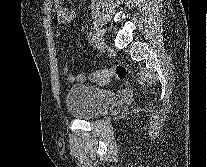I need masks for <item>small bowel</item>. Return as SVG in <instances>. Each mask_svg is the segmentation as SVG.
Masks as SVG:
<instances>
[{
    "label": "small bowel",
    "instance_id": "obj_1",
    "mask_svg": "<svg viewBox=\"0 0 207 167\" xmlns=\"http://www.w3.org/2000/svg\"><path fill=\"white\" fill-rule=\"evenodd\" d=\"M55 9L54 23L57 25H69L73 22L76 16L75 9L66 8L60 0H54L53 3ZM56 36L60 37L61 32H56ZM88 58V57H87ZM63 73L67 78L68 82H83L86 80V75L84 73L73 74L70 72L68 65L63 66Z\"/></svg>",
    "mask_w": 207,
    "mask_h": 167
}]
</instances>
